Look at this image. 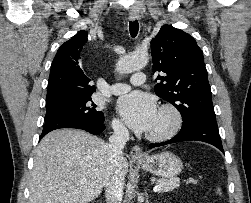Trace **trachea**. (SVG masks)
Wrapping results in <instances>:
<instances>
[{
	"instance_id": "trachea-1",
	"label": "trachea",
	"mask_w": 251,
	"mask_h": 203,
	"mask_svg": "<svg viewBox=\"0 0 251 203\" xmlns=\"http://www.w3.org/2000/svg\"><path fill=\"white\" fill-rule=\"evenodd\" d=\"M129 30L133 38L137 36L139 30V23L137 20L129 22Z\"/></svg>"
}]
</instances>
